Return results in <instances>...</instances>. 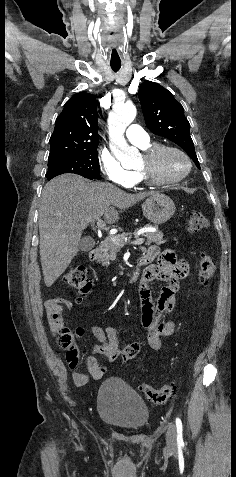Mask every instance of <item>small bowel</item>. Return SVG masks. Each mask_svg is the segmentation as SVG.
<instances>
[{"label": "small bowel", "mask_w": 236, "mask_h": 477, "mask_svg": "<svg viewBox=\"0 0 236 477\" xmlns=\"http://www.w3.org/2000/svg\"><path fill=\"white\" fill-rule=\"evenodd\" d=\"M142 258L148 263L157 261L156 264L149 265L144 270V281L139 288V297L141 324L147 331V343L150 348L158 350L162 346V340L174 332L175 323L172 319L166 320V316L176 304V294L180 289L179 280L187 275L188 264L184 260H178L174 251L168 248L159 250L156 247H150ZM178 263H182L186 268V274L178 272ZM151 281L164 282L156 300L147 286V283ZM73 306L74 303L64 297L45 301L44 309L53 337H58L62 326L63 307L72 308ZM89 332L98 340V344L92 348V354L103 355L109 362L117 361L123 350L119 345L118 327L110 325L103 328L93 325L89 328ZM86 364L88 373H76L73 377L76 385L86 384L90 377L101 379L107 372V368L100 366L92 355L87 357Z\"/></svg>", "instance_id": "1"}]
</instances>
